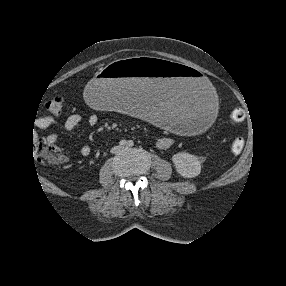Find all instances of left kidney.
I'll return each mask as SVG.
<instances>
[{"label": "left kidney", "mask_w": 286, "mask_h": 286, "mask_svg": "<svg viewBox=\"0 0 286 286\" xmlns=\"http://www.w3.org/2000/svg\"><path fill=\"white\" fill-rule=\"evenodd\" d=\"M176 171L184 178H193L201 172V162L192 154L181 152L172 156Z\"/></svg>", "instance_id": "left-kidney-1"}]
</instances>
